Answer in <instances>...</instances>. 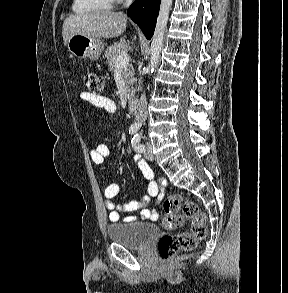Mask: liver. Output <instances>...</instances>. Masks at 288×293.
<instances>
[{"instance_id":"obj_1","label":"liver","mask_w":288,"mask_h":293,"mask_svg":"<svg viewBox=\"0 0 288 293\" xmlns=\"http://www.w3.org/2000/svg\"><path fill=\"white\" fill-rule=\"evenodd\" d=\"M127 17L122 13L99 11L70 15L64 20L62 36L64 44L71 35L82 34L92 38H114L126 29Z\"/></svg>"}]
</instances>
